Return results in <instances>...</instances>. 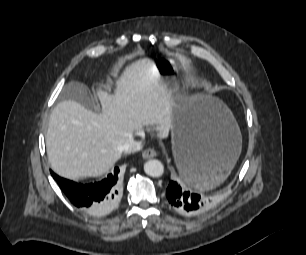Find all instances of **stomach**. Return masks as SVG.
Segmentation results:
<instances>
[{
    "mask_svg": "<svg viewBox=\"0 0 306 255\" xmlns=\"http://www.w3.org/2000/svg\"><path fill=\"white\" fill-rule=\"evenodd\" d=\"M140 49L152 59L171 93L172 150L180 173L184 157H192L209 166V174L200 183L185 181L200 190L218 186L229 176L241 152V132L231 111L217 98L180 87L175 73L179 69L178 61L165 58L153 43L143 41Z\"/></svg>",
    "mask_w": 306,
    "mask_h": 255,
    "instance_id": "stomach-1",
    "label": "stomach"
}]
</instances>
